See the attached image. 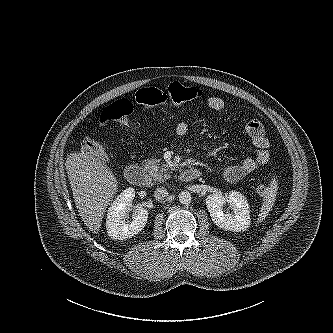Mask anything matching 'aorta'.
<instances>
[{
  "instance_id": "1",
  "label": "aorta",
  "mask_w": 333,
  "mask_h": 333,
  "mask_svg": "<svg viewBox=\"0 0 333 333\" xmlns=\"http://www.w3.org/2000/svg\"><path fill=\"white\" fill-rule=\"evenodd\" d=\"M179 202L184 205H188L191 203L192 196L189 191H181L178 195Z\"/></svg>"
}]
</instances>
